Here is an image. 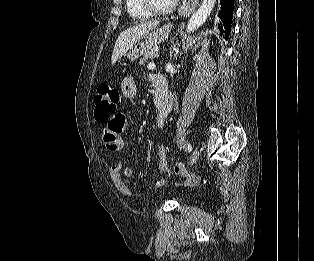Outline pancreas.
I'll return each mask as SVG.
<instances>
[{
    "label": "pancreas",
    "mask_w": 314,
    "mask_h": 261,
    "mask_svg": "<svg viewBox=\"0 0 314 261\" xmlns=\"http://www.w3.org/2000/svg\"><path fill=\"white\" fill-rule=\"evenodd\" d=\"M156 57H158V48L154 47L153 49L144 54L142 60L140 61V64H144V62L147 61L148 59H154Z\"/></svg>",
    "instance_id": "cf45deb5"
}]
</instances>
